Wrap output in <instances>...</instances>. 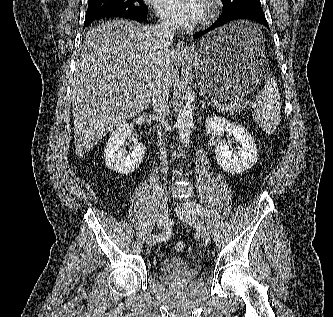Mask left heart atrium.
I'll return each instance as SVG.
<instances>
[{"label": "left heart atrium", "instance_id": "1", "mask_svg": "<svg viewBox=\"0 0 333 317\" xmlns=\"http://www.w3.org/2000/svg\"><path fill=\"white\" fill-rule=\"evenodd\" d=\"M158 14L170 25L190 26L203 14L202 0H157Z\"/></svg>", "mask_w": 333, "mask_h": 317}]
</instances>
